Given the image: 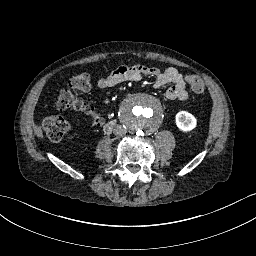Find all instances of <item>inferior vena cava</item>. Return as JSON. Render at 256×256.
I'll use <instances>...</instances> for the list:
<instances>
[{"label":"inferior vena cava","instance_id":"obj_1","mask_svg":"<svg viewBox=\"0 0 256 256\" xmlns=\"http://www.w3.org/2000/svg\"><path fill=\"white\" fill-rule=\"evenodd\" d=\"M127 130L125 127L121 125L114 126L113 133L116 136H124L126 134Z\"/></svg>","mask_w":256,"mask_h":256}]
</instances>
